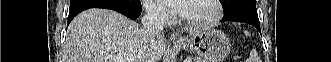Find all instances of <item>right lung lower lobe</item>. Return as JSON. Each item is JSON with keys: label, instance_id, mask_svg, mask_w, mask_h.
<instances>
[{"label": "right lung lower lobe", "instance_id": "1", "mask_svg": "<svg viewBox=\"0 0 331 62\" xmlns=\"http://www.w3.org/2000/svg\"><path fill=\"white\" fill-rule=\"evenodd\" d=\"M89 8L111 9L133 20L139 17L142 10L141 4L138 7H127L111 0H82L70 5L68 24L77 14Z\"/></svg>", "mask_w": 331, "mask_h": 62}]
</instances>
